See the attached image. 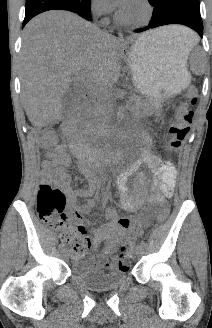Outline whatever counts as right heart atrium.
<instances>
[{"label":"right heart atrium","mask_w":212,"mask_h":328,"mask_svg":"<svg viewBox=\"0 0 212 328\" xmlns=\"http://www.w3.org/2000/svg\"><path fill=\"white\" fill-rule=\"evenodd\" d=\"M92 9L94 12L107 15L111 11L109 0H92Z\"/></svg>","instance_id":"1"}]
</instances>
